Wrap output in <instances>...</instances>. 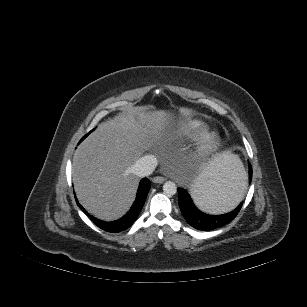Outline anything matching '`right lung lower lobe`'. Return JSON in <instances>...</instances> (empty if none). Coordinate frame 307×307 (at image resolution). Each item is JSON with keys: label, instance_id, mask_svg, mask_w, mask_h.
<instances>
[{"label": "right lung lower lobe", "instance_id": "obj_1", "mask_svg": "<svg viewBox=\"0 0 307 307\" xmlns=\"http://www.w3.org/2000/svg\"><path fill=\"white\" fill-rule=\"evenodd\" d=\"M149 190H150V180L147 178H144L143 180H141L139 184L136 199L132 207L130 208V210L122 218L116 221H112V222L101 221L87 214L86 210L78 203V201H77V205L80 207V209L83 212H85L89 216V218L94 222L96 226H98L104 231L111 232V233H117V232L126 230L135 222L140 211L143 208V205L145 203Z\"/></svg>", "mask_w": 307, "mask_h": 307}]
</instances>
